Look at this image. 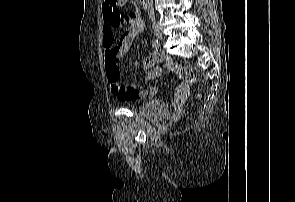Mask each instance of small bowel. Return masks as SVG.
<instances>
[{"instance_id": "1", "label": "small bowel", "mask_w": 295, "mask_h": 202, "mask_svg": "<svg viewBox=\"0 0 295 202\" xmlns=\"http://www.w3.org/2000/svg\"><path fill=\"white\" fill-rule=\"evenodd\" d=\"M103 46H104V65L107 79L112 93L121 100L125 99H150L158 92V86L154 85L149 89L139 88L136 84L127 86L120 85V71L118 67L119 59L129 50L136 36L142 32L144 22L138 10L130 13H124L129 16V29L126 30L120 38L115 40V30L120 26L118 16L109 13L106 10V3L103 4ZM164 60V54L159 50L150 52L143 60V66L150 67ZM170 64V62H169ZM160 72L159 68H155L149 73V77H154ZM189 89L186 81H179L175 102L172 107H182L185 98H188Z\"/></svg>"}]
</instances>
